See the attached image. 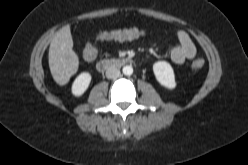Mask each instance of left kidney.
<instances>
[{
  "instance_id": "1",
  "label": "left kidney",
  "mask_w": 248,
  "mask_h": 165,
  "mask_svg": "<svg viewBox=\"0 0 248 165\" xmlns=\"http://www.w3.org/2000/svg\"><path fill=\"white\" fill-rule=\"evenodd\" d=\"M156 80L168 89L176 87L175 75L172 66L166 61H158L153 65Z\"/></svg>"
}]
</instances>
